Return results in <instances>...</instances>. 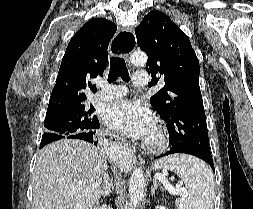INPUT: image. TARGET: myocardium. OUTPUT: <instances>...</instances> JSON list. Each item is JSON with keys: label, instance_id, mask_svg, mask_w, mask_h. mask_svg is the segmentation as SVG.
Wrapping results in <instances>:
<instances>
[{"label": "myocardium", "instance_id": "obj_1", "mask_svg": "<svg viewBox=\"0 0 253 209\" xmlns=\"http://www.w3.org/2000/svg\"><path fill=\"white\" fill-rule=\"evenodd\" d=\"M154 130V137L147 138L143 143V148L151 153H157L164 150L169 143V135L167 129L161 122H155Z\"/></svg>", "mask_w": 253, "mask_h": 209}]
</instances>
